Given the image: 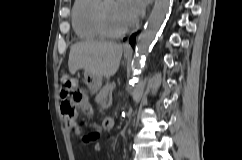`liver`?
<instances>
[{"label":"liver","instance_id":"1","mask_svg":"<svg viewBox=\"0 0 242 160\" xmlns=\"http://www.w3.org/2000/svg\"><path fill=\"white\" fill-rule=\"evenodd\" d=\"M123 46L109 41H82L71 46L68 60L70 73L83 69L99 78L115 75L119 68Z\"/></svg>","mask_w":242,"mask_h":160}]
</instances>
